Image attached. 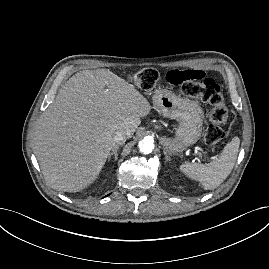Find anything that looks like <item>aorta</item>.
Instances as JSON below:
<instances>
[{
    "label": "aorta",
    "mask_w": 269,
    "mask_h": 269,
    "mask_svg": "<svg viewBox=\"0 0 269 269\" xmlns=\"http://www.w3.org/2000/svg\"><path fill=\"white\" fill-rule=\"evenodd\" d=\"M139 151L143 154H149L154 150V142L150 138H144L138 143Z\"/></svg>",
    "instance_id": "aorta-1"
}]
</instances>
